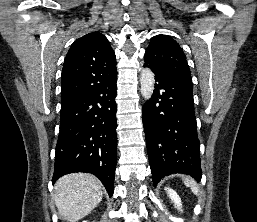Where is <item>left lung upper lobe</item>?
Masks as SVG:
<instances>
[{
	"mask_svg": "<svg viewBox=\"0 0 257 222\" xmlns=\"http://www.w3.org/2000/svg\"><path fill=\"white\" fill-rule=\"evenodd\" d=\"M145 62L192 84L186 56L179 44L168 35H157L152 38L145 52Z\"/></svg>",
	"mask_w": 257,
	"mask_h": 222,
	"instance_id": "obj_1",
	"label": "left lung upper lobe"
}]
</instances>
